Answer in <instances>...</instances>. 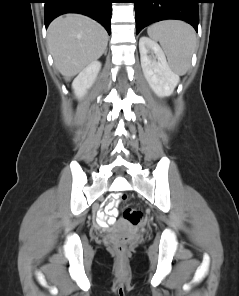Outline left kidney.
<instances>
[{
    "label": "left kidney",
    "instance_id": "5707ae66",
    "mask_svg": "<svg viewBox=\"0 0 239 296\" xmlns=\"http://www.w3.org/2000/svg\"><path fill=\"white\" fill-rule=\"evenodd\" d=\"M139 51L142 70L152 91L158 97L170 96L180 78L169 67L161 47L156 41L142 36Z\"/></svg>",
    "mask_w": 239,
    "mask_h": 296
}]
</instances>
